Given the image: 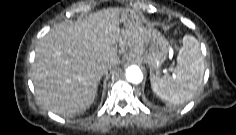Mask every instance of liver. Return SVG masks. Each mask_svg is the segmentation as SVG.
Wrapping results in <instances>:
<instances>
[{"label": "liver", "instance_id": "6515ba94", "mask_svg": "<svg viewBox=\"0 0 236 135\" xmlns=\"http://www.w3.org/2000/svg\"><path fill=\"white\" fill-rule=\"evenodd\" d=\"M133 20L120 28V16ZM146 31L129 9L108 8L76 22L54 26L35 49L31 78L39 103L47 110L72 116L93 103L100 78L119 63L118 46L141 47Z\"/></svg>", "mask_w": 236, "mask_h": 135}]
</instances>
